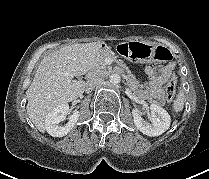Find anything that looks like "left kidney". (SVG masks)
I'll list each match as a JSON object with an SVG mask.
<instances>
[{
  "label": "left kidney",
  "instance_id": "1",
  "mask_svg": "<svg viewBox=\"0 0 209 179\" xmlns=\"http://www.w3.org/2000/svg\"><path fill=\"white\" fill-rule=\"evenodd\" d=\"M132 115L137 129L143 134L151 137L159 136L164 133L168 130L171 122L168 112L157 104L150 105L148 118L151 123L144 121L136 108L132 110Z\"/></svg>",
  "mask_w": 209,
  "mask_h": 179
}]
</instances>
